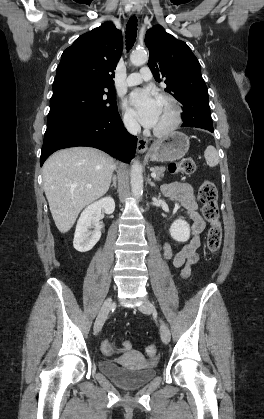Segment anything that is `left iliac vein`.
<instances>
[{
	"label": "left iliac vein",
	"mask_w": 264,
	"mask_h": 419,
	"mask_svg": "<svg viewBox=\"0 0 264 419\" xmlns=\"http://www.w3.org/2000/svg\"><path fill=\"white\" fill-rule=\"evenodd\" d=\"M139 310L149 314L154 312V306L148 299H144L143 303L139 306ZM160 334L162 341L168 344L171 338L170 330L163 320H160Z\"/></svg>",
	"instance_id": "4c4485c4"
}]
</instances>
